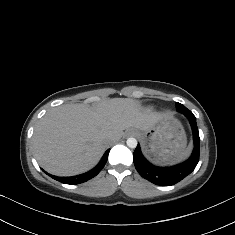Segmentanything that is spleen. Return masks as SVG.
<instances>
[{
	"instance_id": "obj_1",
	"label": "spleen",
	"mask_w": 235,
	"mask_h": 235,
	"mask_svg": "<svg viewBox=\"0 0 235 235\" xmlns=\"http://www.w3.org/2000/svg\"><path fill=\"white\" fill-rule=\"evenodd\" d=\"M192 147H193V145L191 143L190 146L188 147V149L185 150L179 158H177V159H175L165 165H174L176 163H179V162L186 160L191 154Z\"/></svg>"
}]
</instances>
